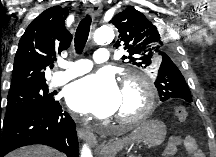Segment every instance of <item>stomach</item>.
Returning a JSON list of instances; mask_svg holds the SVG:
<instances>
[{
    "mask_svg": "<svg viewBox=\"0 0 216 157\" xmlns=\"http://www.w3.org/2000/svg\"><path fill=\"white\" fill-rule=\"evenodd\" d=\"M165 135V125L157 120L144 121L131 133L133 139L143 141L148 147L159 146L164 141ZM115 146L121 147L122 143L111 144L110 148Z\"/></svg>",
    "mask_w": 216,
    "mask_h": 157,
    "instance_id": "1",
    "label": "stomach"
}]
</instances>
